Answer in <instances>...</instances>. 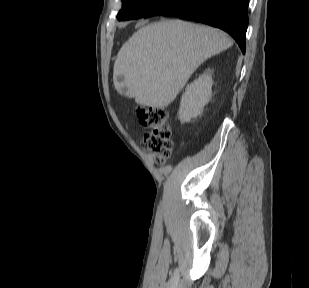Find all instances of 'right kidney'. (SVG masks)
I'll use <instances>...</instances> for the list:
<instances>
[{
  "label": "right kidney",
  "instance_id": "right-kidney-1",
  "mask_svg": "<svg viewBox=\"0 0 309 288\" xmlns=\"http://www.w3.org/2000/svg\"><path fill=\"white\" fill-rule=\"evenodd\" d=\"M212 85V76L204 73L186 87L179 108L181 123L189 122L202 113L204 106L211 99Z\"/></svg>",
  "mask_w": 309,
  "mask_h": 288
}]
</instances>
